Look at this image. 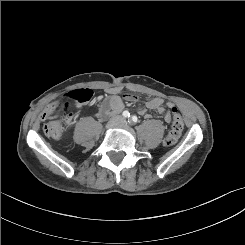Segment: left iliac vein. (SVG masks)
<instances>
[{"label":"left iliac vein","mask_w":245,"mask_h":245,"mask_svg":"<svg viewBox=\"0 0 245 245\" xmlns=\"http://www.w3.org/2000/svg\"><path fill=\"white\" fill-rule=\"evenodd\" d=\"M122 123H123V124H125V123H126V121L124 120V121H122Z\"/></svg>","instance_id":"1"}]
</instances>
